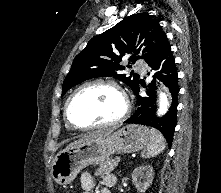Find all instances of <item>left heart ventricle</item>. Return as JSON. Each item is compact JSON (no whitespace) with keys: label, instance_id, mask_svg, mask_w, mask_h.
Listing matches in <instances>:
<instances>
[{"label":"left heart ventricle","instance_id":"left-heart-ventricle-1","mask_svg":"<svg viewBox=\"0 0 221 193\" xmlns=\"http://www.w3.org/2000/svg\"><path fill=\"white\" fill-rule=\"evenodd\" d=\"M120 94L106 85H92L82 89L73 99L69 115L80 126L105 123L116 119L123 111Z\"/></svg>","mask_w":221,"mask_h":193}]
</instances>
